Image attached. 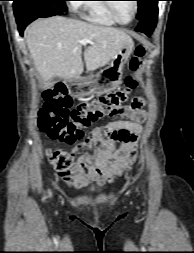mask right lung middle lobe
I'll list each match as a JSON object with an SVG mask.
<instances>
[{
  "label": "right lung middle lobe",
  "mask_w": 194,
  "mask_h": 253,
  "mask_svg": "<svg viewBox=\"0 0 194 253\" xmlns=\"http://www.w3.org/2000/svg\"><path fill=\"white\" fill-rule=\"evenodd\" d=\"M65 1L67 0H13V8L15 16H18L21 12L28 8H38L41 6H53L65 12L67 11Z\"/></svg>",
  "instance_id": "right-lung-middle-lobe-1"
}]
</instances>
